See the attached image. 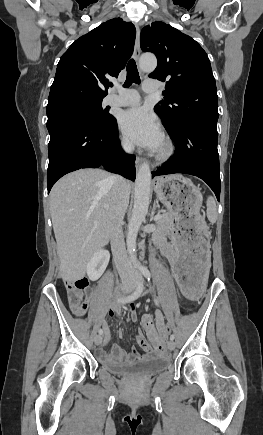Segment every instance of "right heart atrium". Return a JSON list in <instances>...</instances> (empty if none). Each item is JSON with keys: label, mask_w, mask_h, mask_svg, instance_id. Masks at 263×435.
<instances>
[{"label": "right heart atrium", "mask_w": 263, "mask_h": 435, "mask_svg": "<svg viewBox=\"0 0 263 435\" xmlns=\"http://www.w3.org/2000/svg\"><path fill=\"white\" fill-rule=\"evenodd\" d=\"M119 144H120L121 149L124 152L128 153L131 151V148H132L131 144L129 143V141L125 137H123V136L119 137Z\"/></svg>", "instance_id": "d8ad5b80"}]
</instances>
